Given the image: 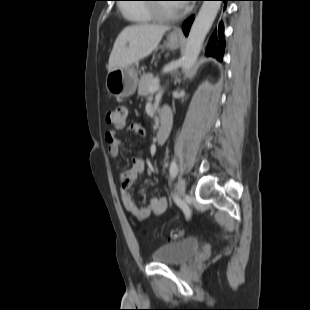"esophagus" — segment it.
<instances>
[{"mask_svg":"<svg viewBox=\"0 0 310 310\" xmlns=\"http://www.w3.org/2000/svg\"><path fill=\"white\" fill-rule=\"evenodd\" d=\"M173 34H174V35H177V36H180V37L183 36V33H182L181 29H179V28H176V29L173 31Z\"/></svg>","mask_w":310,"mask_h":310,"instance_id":"34e87169","label":"esophagus"}]
</instances>
